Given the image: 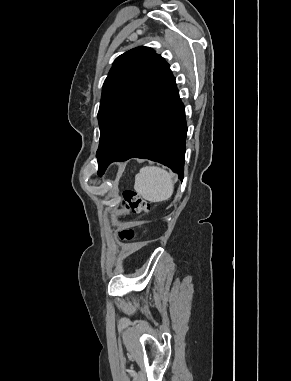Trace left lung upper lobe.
<instances>
[{
	"label": "left lung upper lobe",
	"mask_w": 291,
	"mask_h": 381,
	"mask_svg": "<svg viewBox=\"0 0 291 381\" xmlns=\"http://www.w3.org/2000/svg\"><path fill=\"white\" fill-rule=\"evenodd\" d=\"M172 79L169 64L152 48L140 46L115 59L103 84L98 112V164L116 147L151 98Z\"/></svg>",
	"instance_id": "1"
}]
</instances>
